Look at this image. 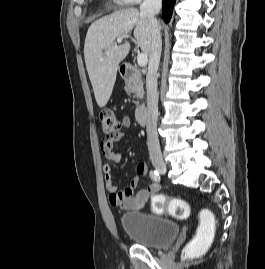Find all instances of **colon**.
<instances>
[{"instance_id":"5ec220e1","label":"colon","mask_w":265,"mask_h":269,"mask_svg":"<svg viewBox=\"0 0 265 269\" xmlns=\"http://www.w3.org/2000/svg\"><path fill=\"white\" fill-rule=\"evenodd\" d=\"M99 117L102 131L106 137H113L121 132L122 122L113 111L108 109L101 110ZM151 207L156 213H168L179 219H185L190 214L188 202L182 199L171 198L164 194L154 196L151 201ZM213 219L214 217L211 212H203V223L199 227L195 238L185 246L184 257L196 255L208 242L212 235Z\"/></svg>"}]
</instances>
